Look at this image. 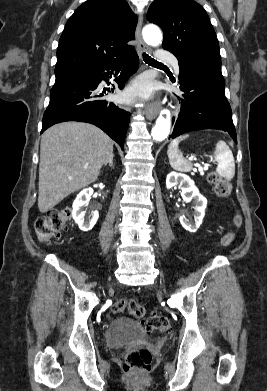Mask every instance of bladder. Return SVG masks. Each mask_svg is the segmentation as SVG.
I'll list each match as a JSON object with an SVG mask.
<instances>
[{
	"label": "bladder",
	"mask_w": 267,
	"mask_h": 391,
	"mask_svg": "<svg viewBox=\"0 0 267 391\" xmlns=\"http://www.w3.org/2000/svg\"><path fill=\"white\" fill-rule=\"evenodd\" d=\"M139 332V326L134 321L118 318L109 324L105 332V339L108 345L118 347L126 341L136 338Z\"/></svg>",
	"instance_id": "obj_1"
}]
</instances>
